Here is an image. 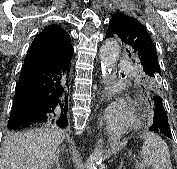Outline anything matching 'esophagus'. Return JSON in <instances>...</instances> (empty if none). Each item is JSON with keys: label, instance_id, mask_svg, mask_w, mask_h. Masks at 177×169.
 <instances>
[{"label": "esophagus", "instance_id": "34e87169", "mask_svg": "<svg viewBox=\"0 0 177 169\" xmlns=\"http://www.w3.org/2000/svg\"><path fill=\"white\" fill-rule=\"evenodd\" d=\"M103 82L104 84H100L99 86V92L100 95H102L101 100H104L103 107H102V113L104 114L101 117V123H107L108 125H110L111 120L109 116L110 113L109 108H110L112 97H109V92H106L105 84H108V82H106L105 80Z\"/></svg>", "mask_w": 177, "mask_h": 169}]
</instances>
